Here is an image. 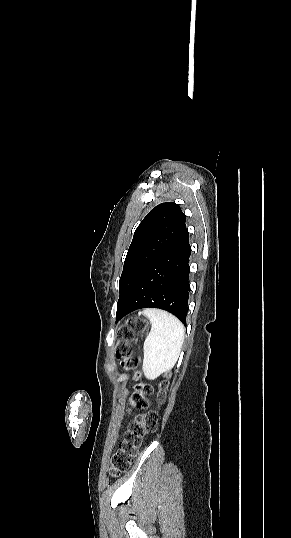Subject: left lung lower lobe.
Here are the masks:
<instances>
[{"instance_id":"0a47b994","label":"left lung lower lobe","mask_w":291,"mask_h":538,"mask_svg":"<svg viewBox=\"0 0 291 538\" xmlns=\"http://www.w3.org/2000/svg\"><path fill=\"white\" fill-rule=\"evenodd\" d=\"M189 233H181L150 265L127 302L117 307L116 322L140 308L171 312L186 325L189 284Z\"/></svg>"}]
</instances>
